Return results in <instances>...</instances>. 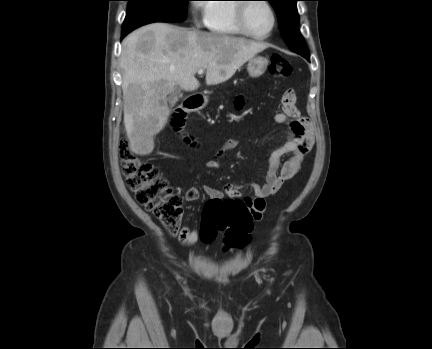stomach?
Returning <instances> with one entry per match:
<instances>
[{
  "mask_svg": "<svg viewBox=\"0 0 432 349\" xmlns=\"http://www.w3.org/2000/svg\"><path fill=\"white\" fill-rule=\"evenodd\" d=\"M268 59L263 56H254L248 61L247 71L251 77L261 76L267 69Z\"/></svg>",
  "mask_w": 432,
  "mask_h": 349,
  "instance_id": "stomach-1",
  "label": "stomach"
}]
</instances>
